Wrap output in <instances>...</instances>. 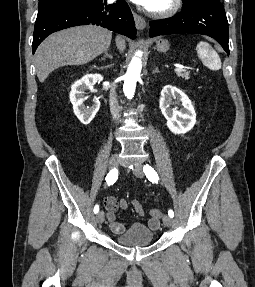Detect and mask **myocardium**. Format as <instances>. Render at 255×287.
Segmentation results:
<instances>
[{
	"instance_id": "obj_1",
	"label": "myocardium",
	"mask_w": 255,
	"mask_h": 287,
	"mask_svg": "<svg viewBox=\"0 0 255 287\" xmlns=\"http://www.w3.org/2000/svg\"><path fill=\"white\" fill-rule=\"evenodd\" d=\"M145 33H149V32H145ZM162 33H166V32H162ZM140 39H146V38H140ZM160 39H169V38H160ZM167 48H171V47H167Z\"/></svg>"
}]
</instances>
